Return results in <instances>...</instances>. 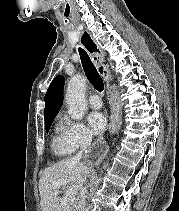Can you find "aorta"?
<instances>
[{
  "mask_svg": "<svg viewBox=\"0 0 179 211\" xmlns=\"http://www.w3.org/2000/svg\"><path fill=\"white\" fill-rule=\"evenodd\" d=\"M85 91L86 79L81 75L73 76L67 85L65 99L68 105V113L74 120L82 119L87 109Z\"/></svg>",
  "mask_w": 179,
  "mask_h": 211,
  "instance_id": "1",
  "label": "aorta"
}]
</instances>
